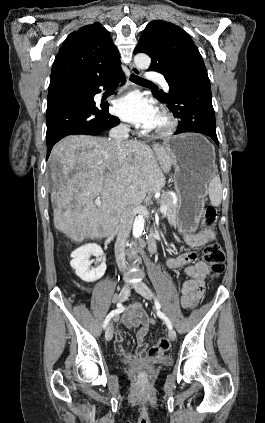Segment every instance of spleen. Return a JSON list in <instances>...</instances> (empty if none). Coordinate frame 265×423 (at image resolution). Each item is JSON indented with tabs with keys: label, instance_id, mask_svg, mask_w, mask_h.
I'll return each mask as SVG.
<instances>
[{
	"label": "spleen",
	"instance_id": "1",
	"mask_svg": "<svg viewBox=\"0 0 265 423\" xmlns=\"http://www.w3.org/2000/svg\"><path fill=\"white\" fill-rule=\"evenodd\" d=\"M208 193L212 206H219L222 201V185L218 175H214L208 185Z\"/></svg>",
	"mask_w": 265,
	"mask_h": 423
}]
</instances>
